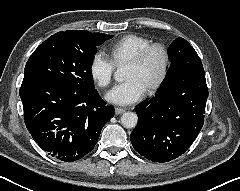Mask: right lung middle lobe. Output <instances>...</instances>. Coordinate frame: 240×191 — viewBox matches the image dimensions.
Returning a JSON list of instances; mask_svg holds the SVG:
<instances>
[{"label":"right lung middle lobe","mask_w":240,"mask_h":191,"mask_svg":"<svg viewBox=\"0 0 240 191\" xmlns=\"http://www.w3.org/2000/svg\"><path fill=\"white\" fill-rule=\"evenodd\" d=\"M111 37L103 33L58 32L32 53L23 81H51L80 92L92 90L96 47Z\"/></svg>","instance_id":"1"}]
</instances>
